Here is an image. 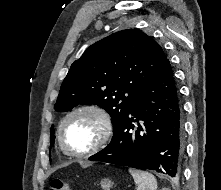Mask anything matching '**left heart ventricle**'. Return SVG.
Masks as SVG:
<instances>
[{
    "label": "left heart ventricle",
    "instance_id": "obj_1",
    "mask_svg": "<svg viewBox=\"0 0 221 190\" xmlns=\"http://www.w3.org/2000/svg\"><path fill=\"white\" fill-rule=\"evenodd\" d=\"M99 130V121L93 114L79 113L66 122L63 140L68 148L83 151L95 143Z\"/></svg>",
    "mask_w": 221,
    "mask_h": 190
}]
</instances>
